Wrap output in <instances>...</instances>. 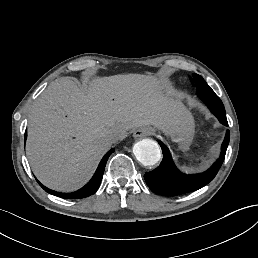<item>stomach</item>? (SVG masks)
<instances>
[{
    "mask_svg": "<svg viewBox=\"0 0 258 258\" xmlns=\"http://www.w3.org/2000/svg\"><path fill=\"white\" fill-rule=\"evenodd\" d=\"M181 122L177 128V131L171 133V140L178 144L180 148L187 147L194 138L195 132V121L192 112L187 108V106L183 103L181 108ZM141 129H145L147 132H151L152 134H156V130L152 126L144 127Z\"/></svg>",
    "mask_w": 258,
    "mask_h": 258,
    "instance_id": "1",
    "label": "stomach"
}]
</instances>
